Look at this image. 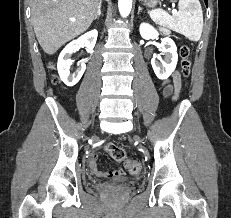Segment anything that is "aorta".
<instances>
[{
	"label": "aorta",
	"instance_id": "aorta-1",
	"mask_svg": "<svg viewBox=\"0 0 231 218\" xmlns=\"http://www.w3.org/2000/svg\"><path fill=\"white\" fill-rule=\"evenodd\" d=\"M119 12L122 17L129 15L132 8V0H118Z\"/></svg>",
	"mask_w": 231,
	"mask_h": 218
}]
</instances>
